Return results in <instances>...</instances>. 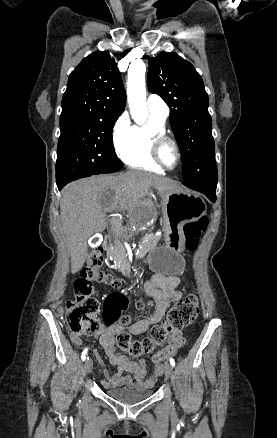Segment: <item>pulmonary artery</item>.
<instances>
[{
  "label": "pulmonary artery",
  "mask_w": 277,
  "mask_h": 438,
  "mask_svg": "<svg viewBox=\"0 0 277 438\" xmlns=\"http://www.w3.org/2000/svg\"><path fill=\"white\" fill-rule=\"evenodd\" d=\"M143 106L151 116L164 121H166L170 113L169 107L162 101L161 95H148Z\"/></svg>",
  "instance_id": "e3ab8cb5"
}]
</instances>
